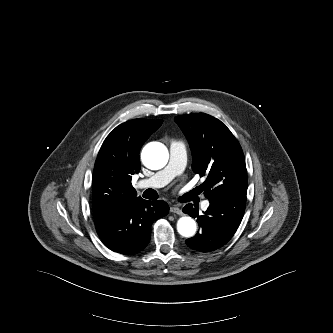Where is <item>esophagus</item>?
I'll return each mask as SVG.
<instances>
[{"label": "esophagus", "mask_w": 333, "mask_h": 333, "mask_svg": "<svg viewBox=\"0 0 333 333\" xmlns=\"http://www.w3.org/2000/svg\"><path fill=\"white\" fill-rule=\"evenodd\" d=\"M170 212L178 214V215H183L182 210L176 206L171 207Z\"/></svg>", "instance_id": "obj_1"}]
</instances>
